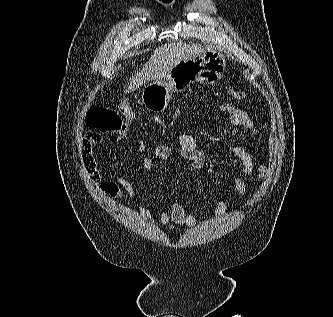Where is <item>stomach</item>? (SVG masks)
I'll use <instances>...</instances> for the list:
<instances>
[{
	"label": "stomach",
	"mask_w": 333,
	"mask_h": 317,
	"mask_svg": "<svg viewBox=\"0 0 333 317\" xmlns=\"http://www.w3.org/2000/svg\"><path fill=\"white\" fill-rule=\"evenodd\" d=\"M225 67V57L221 53L215 49H206L202 54L175 65L167 73V80H154L145 86L142 102L149 111L162 112L166 109L173 91H184L194 81L214 83Z\"/></svg>",
	"instance_id": "1"
}]
</instances>
